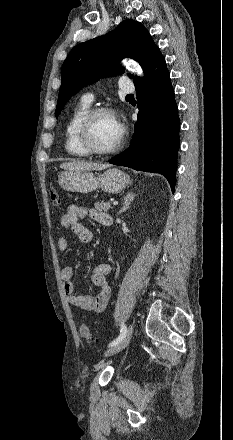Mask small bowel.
<instances>
[{
  "instance_id": "small-bowel-1",
  "label": "small bowel",
  "mask_w": 233,
  "mask_h": 440,
  "mask_svg": "<svg viewBox=\"0 0 233 440\" xmlns=\"http://www.w3.org/2000/svg\"><path fill=\"white\" fill-rule=\"evenodd\" d=\"M90 217L93 221L102 224V221L108 217L109 214L103 211H99L93 208H88L85 205L72 204L70 205L65 214L61 217L60 223L64 229H70L77 235L79 240L83 243H91L94 240V233L88 228L84 227L80 222L81 219ZM57 247L60 251H66L68 249V240L65 237L58 239ZM112 271V267L109 263L98 264L92 273V283L100 288L98 294L92 296H78L74 294V285L72 277L74 270L72 266H65L61 270L62 287L68 302L85 311L101 312L107 306L110 296L111 288L107 283L106 277Z\"/></svg>"
}]
</instances>
